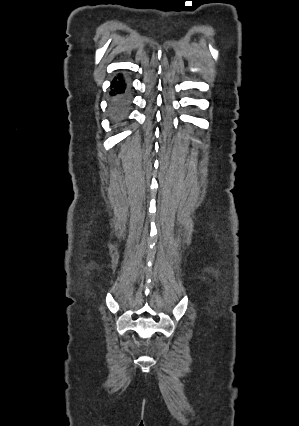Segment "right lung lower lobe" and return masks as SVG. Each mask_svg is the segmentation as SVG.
<instances>
[{"label":"right lung lower lobe","mask_w":299,"mask_h":426,"mask_svg":"<svg viewBox=\"0 0 299 426\" xmlns=\"http://www.w3.org/2000/svg\"><path fill=\"white\" fill-rule=\"evenodd\" d=\"M112 90L110 95L113 96V100L111 101L110 112L113 120L116 123H120L126 116L129 110V99L126 95H124L125 84L119 76V80L116 78L113 80L111 84Z\"/></svg>","instance_id":"98d812e1"}]
</instances>
